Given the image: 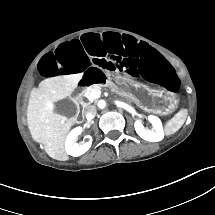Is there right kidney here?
Returning <instances> with one entry per match:
<instances>
[{"instance_id":"ca27d5eb","label":"right kidney","mask_w":215,"mask_h":215,"mask_svg":"<svg viewBox=\"0 0 215 215\" xmlns=\"http://www.w3.org/2000/svg\"><path fill=\"white\" fill-rule=\"evenodd\" d=\"M82 133V127H76L73 129L67 136L65 141V150L68 155L73 157H78L89 150L91 147L92 141L84 143L83 145H79L75 143L76 137ZM85 138L91 139V136L87 135Z\"/></svg>"}]
</instances>
